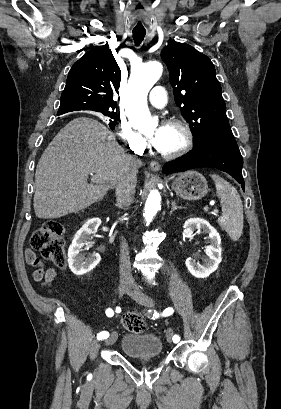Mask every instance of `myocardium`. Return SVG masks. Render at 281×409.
Segmentation results:
<instances>
[{"instance_id": "f54148a6", "label": "myocardium", "mask_w": 281, "mask_h": 409, "mask_svg": "<svg viewBox=\"0 0 281 409\" xmlns=\"http://www.w3.org/2000/svg\"><path fill=\"white\" fill-rule=\"evenodd\" d=\"M165 126L179 128L184 136L183 143L174 151L162 152L156 149V152L166 160H173L186 154L192 148L194 142V135L190 126L180 119H169L166 121Z\"/></svg>"}]
</instances>
